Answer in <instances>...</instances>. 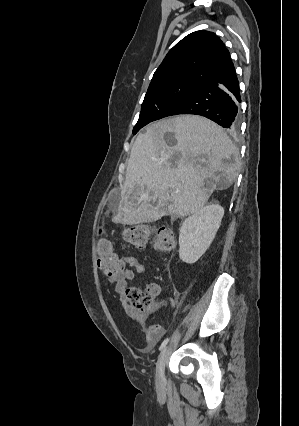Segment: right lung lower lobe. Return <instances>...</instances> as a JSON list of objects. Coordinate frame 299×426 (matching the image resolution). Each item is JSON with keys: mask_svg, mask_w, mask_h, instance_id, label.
I'll list each match as a JSON object with an SVG mask.
<instances>
[{"mask_svg": "<svg viewBox=\"0 0 299 426\" xmlns=\"http://www.w3.org/2000/svg\"><path fill=\"white\" fill-rule=\"evenodd\" d=\"M240 101L239 82L233 66L172 104L159 119L178 114H195L234 131L237 128Z\"/></svg>", "mask_w": 299, "mask_h": 426, "instance_id": "right-lung-lower-lobe-1", "label": "right lung lower lobe"}]
</instances>
